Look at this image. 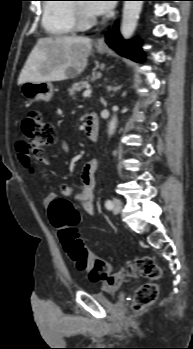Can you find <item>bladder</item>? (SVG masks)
<instances>
[{
	"label": "bladder",
	"mask_w": 193,
	"mask_h": 349,
	"mask_svg": "<svg viewBox=\"0 0 193 349\" xmlns=\"http://www.w3.org/2000/svg\"><path fill=\"white\" fill-rule=\"evenodd\" d=\"M110 295H114V293H107L106 291L93 292L92 296L100 302L109 301Z\"/></svg>",
	"instance_id": "31cf9c89"
}]
</instances>
